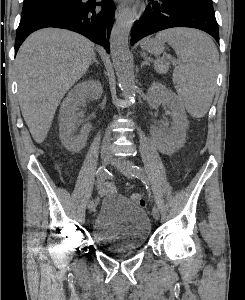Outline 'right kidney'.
<instances>
[{"label":"right kidney","instance_id":"right-kidney-1","mask_svg":"<svg viewBox=\"0 0 245 300\" xmlns=\"http://www.w3.org/2000/svg\"><path fill=\"white\" fill-rule=\"evenodd\" d=\"M103 89L99 81H85L76 85L64 99L60 109V139L63 145L72 152L80 151L86 144L91 125L85 124L78 131L76 127L79 107L88 97L99 99Z\"/></svg>","mask_w":245,"mask_h":300}]
</instances>
